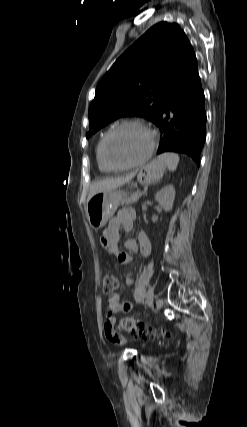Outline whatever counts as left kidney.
Listing matches in <instances>:
<instances>
[{
	"mask_svg": "<svg viewBox=\"0 0 247 427\" xmlns=\"http://www.w3.org/2000/svg\"><path fill=\"white\" fill-rule=\"evenodd\" d=\"M175 188L169 184L164 186L155 196V200L163 207L166 212H169L174 203Z\"/></svg>",
	"mask_w": 247,
	"mask_h": 427,
	"instance_id": "5707ae66",
	"label": "left kidney"
}]
</instances>
